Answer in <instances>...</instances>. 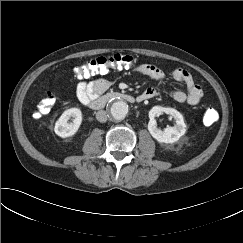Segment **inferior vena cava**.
Masks as SVG:
<instances>
[{
    "mask_svg": "<svg viewBox=\"0 0 243 243\" xmlns=\"http://www.w3.org/2000/svg\"><path fill=\"white\" fill-rule=\"evenodd\" d=\"M96 119H97L99 122H106V121H107V113H106L104 110H99V111L96 113Z\"/></svg>",
    "mask_w": 243,
    "mask_h": 243,
    "instance_id": "obj_1",
    "label": "inferior vena cava"
}]
</instances>
